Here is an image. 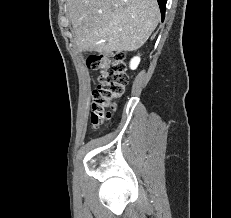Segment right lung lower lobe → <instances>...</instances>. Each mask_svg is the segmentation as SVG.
<instances>
[{"mask_svg":"<svg viewBox=\"0 0 231 218\" xmlns=\"http://www.w3.org/2000/svg\"><path fill=\"white\" fill-rule=\"evenodd\" d=\"M157 1H158V4H159V7H160V11H161V15H162V20H164L167 0H157Z\"/></svg>","mask_w":231,"mask_h":218,"instance_id":"98d812e1","label":"right lung lower lobe"}]
</instances>
